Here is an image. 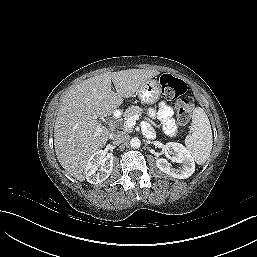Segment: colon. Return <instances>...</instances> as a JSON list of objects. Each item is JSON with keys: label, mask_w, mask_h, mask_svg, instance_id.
Returning a JSON list of instances; mask_svg holds the SVG:
<instances>
[{"label": "colon", "mask_w": 257, "mask_h": 257, "mask_svg": "<svg viewBox=\"0 0 257 257\" xmlns=\"http://www.w3.org/2000/svg\"><path fill=\"white\" fill-rule=\"evenodd\" d=\"M159 83L163 96L174 101V109L178 122L182 125L187 124L191 117L192 104L185 97L187 91L186 83L182 79L170 74L161 75Z\"/></svg>", "instance_id": "1"}]
</instances>
